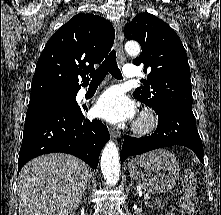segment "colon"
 I'll return each mask as SVG.
<instances>
[{
    "mask_svg": "<svg viewBox=\"0 0 221 215\" xmlns=\"http://www.w3.org/2000/svg\"><path fill=\"white\" fill-rule=\"evenodd\" d=\"M184 189V194L180 200L183 215H199L195 207V178L190 172L185 175Z\"/></svg>",
    "mask_w": 221,
    "mask_h": 215,
    "instance_id": "5ec220e1",
    "label": "colon"
}]
</instances>
